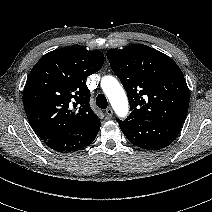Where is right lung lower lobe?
Wrapping results in <instances>:
<instances>
[{
    "mask_svg": "<svg viewBox=\"0 0 212 212\" xmlns=\"http://www.w3.org/2000/svg\"><path fill=\"white\" fill-rule=\"evenodd\" d=\"M97 133L88 136L67 134L61 137L46 140L44 142L49 148L57 152L61 153L74 152L90 145L96 138Z\"/></svg>",
    "mask_w": 212,
    "mask_h": 212,
    "instance_id": "obj_1",
    "label": "right lung lower lobe"
}]
</instances>
